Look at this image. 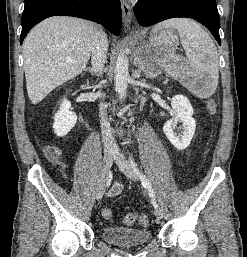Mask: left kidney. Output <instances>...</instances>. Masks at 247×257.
Listing matches in <instances>:
<instances>
[{"label":"left kidney","instance_id":"1","mask_svg":"<svg viewBox=\"0 0 247 257\" xmlns=\"http://www.w3.org/2000/svg\"><path fill=\"white\" fill-rule=\"evenodd\" d=\"M171 106L176 113V118L168 120L163 126V131L174 147L178 150H184L190 145L195 133L196 122L192 117L194 111L188 98L183 95L174 96L171 100ZM177 120L183 123L181 135L174 132Z\"/></svg>","mask_w":247,"mask_h":257}]
</instances>
